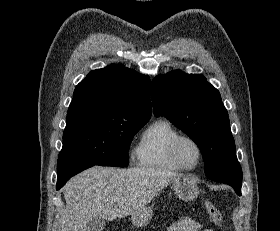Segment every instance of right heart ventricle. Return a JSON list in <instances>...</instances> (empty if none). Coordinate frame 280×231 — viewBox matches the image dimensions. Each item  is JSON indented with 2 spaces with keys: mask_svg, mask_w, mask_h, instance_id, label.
<instances>
[{
  "mask_svg": "<svg viewBox=\"0 0 280 231\" xmlns=\"http://www.w3.org/2000/svg\"><path fill=\"white\" fill-rule=\"evenodd\" d=\"M180 134L174 123L167 118L153 120L142 131L134 149L138 166L178 171L180 168L171 160L170 145Z\"/></svg>",
  "mask_w": 280,
  "mask_h": 231,
  "instance_id": "obj_1",
  "label": "right heart ventricle"
}]
</instances>
